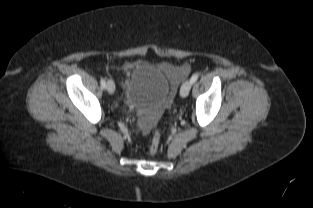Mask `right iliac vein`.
<instances>
[{"label":"right iliac vein","instance_id":"right-iliac-vein-1","mask_svg":"<svg viewBox=\"0 0 313 208\" xmlns=\"http://www.w3.org/2000/svg\"><path fill=\"white\" fill-rule=\"evenodd\" d=\"M106 89L110 94H113L115 91V84L112 80H107Z\"/></svg>","mask_w":313,"mask_h":208}]
</instances>
